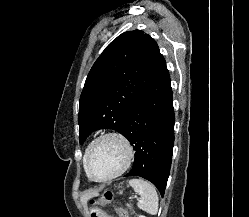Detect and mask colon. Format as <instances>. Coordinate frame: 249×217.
<instances>
[{
  "mask_svg": "<svg viewBox=\"0 0 249 217\" xmlns=\"http://www.w3.org/2000/svg\"><path fill=\"white\" fill-rule=\"evenodd\" d=\"M113 198V193L110 190L103 192L99 200H91L90 203L95 206L98 204H106ZM116 213L119 217H129L128 211L125 208H116Z\"/></svg>",
  "mask_w": 249,
  "mask_h": 217,
  "instance_id": "colon-1",
  "label": "colon"
}]
</instances>
